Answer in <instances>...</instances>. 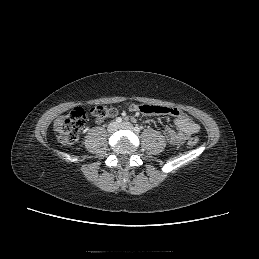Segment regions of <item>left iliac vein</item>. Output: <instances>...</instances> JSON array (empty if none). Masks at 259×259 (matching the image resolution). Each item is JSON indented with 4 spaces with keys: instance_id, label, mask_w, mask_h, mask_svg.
Listing matches in <instances>:
<instances>
[{
    "instance_id": "1",
    "label": "left iliac vein",
    "mask_w": 259,
    "mask_h": 259,
    "mask_svg": "<svg viewBox=\"0 0 259 259\" xmlns=\"http://www.w3.org/2000/svg\"><path fill=\"white\" fill-rule=\"evenodd\" d=\"M119 127H120L121 129H127V130H130V131H134L133 125H132L131 123H129V122H123V123H121V124L119 125Z\"/></svg>"
}]
</instances>
